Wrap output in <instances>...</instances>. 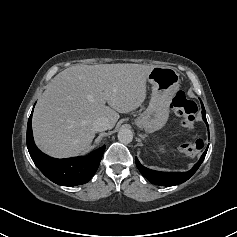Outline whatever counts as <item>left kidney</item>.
<instances>
[{
  "label": "left kidney",
  "mask_w": 237,
  "mask_h": 237,
  "mask_svg": "<svg viewBox=\"0 0 237 237\" xmlns=\"http://www.w3.org/2000/svg\"><path fill=\"white\" fill-rule=\"evenodd\" d=\"M159 151H161L162 153H164V148H159Z\"/></svg>",
  "instance_id": "obj_1"
}]
</instances>
